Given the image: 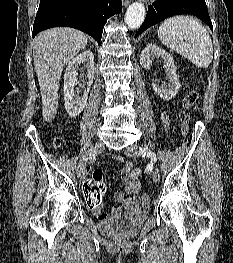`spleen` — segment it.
<instances>
[{"label":"spleen","mask_w":233,"mask_h":263,"mask_svg":"<svg viewBox=\"0 0 233 263\" xmlns=\"http://www.w3.org/2000/svg\"><path fill=\"white\" fill-rule=\"evenodd\" d=\"M163 45L180 53L196 67L206 68L213 59V45L206 28L198 19L179 15L166 19L158 29Z\"/></svg>","instance_id":"obj_1"}]
</instances>
